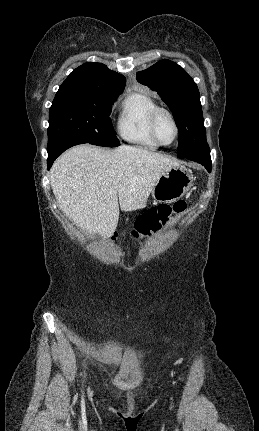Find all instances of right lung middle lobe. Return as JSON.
<instances>
[{
    "label": "right lung middle lobe",
    "instance_id": "obj_1",
    "mask_svg": "<svg viewBox=\"0 0 259 431\" xmlns=\"http://www.w3.org/2000/svg\"><path fill=\"white\" fill-rule=\"evenodd\" d=\"M122 92L101 95L56 93L49 111L48 147L63 142L99 146L120 145L109 117Z\"/></svg>",
    "mask_w": 259,
    "mask_h": 431
}]
</instances>
